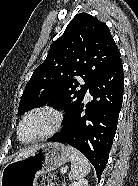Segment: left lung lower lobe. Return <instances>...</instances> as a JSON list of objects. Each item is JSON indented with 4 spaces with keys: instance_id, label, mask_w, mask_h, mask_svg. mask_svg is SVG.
<instances>
[{
    "instance_id": "0a47b994",
    "label": "left lung lower lobe",
    "mask_w": 138,
    "mask_h": 186,
    "mask_svg": "<svg viewBox=\"0 0 138 186\" xmlns=\"http://www.w3.org/2000/svg\"><path fill=\"white\" fill-rule=\"evenodd\" d=\"M123 89V66L119 59L90 86L92 100L86 106L81 102L75 107L61 132L48 139L67 143L82 152L94 166L98 180L112 147L122 107Z\"/></svg>"
}]
</instances>
